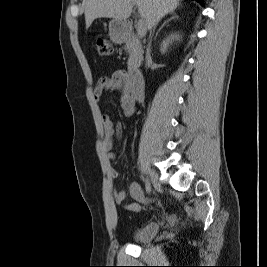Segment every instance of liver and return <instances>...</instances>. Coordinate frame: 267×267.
Here are the masks:
<instances>
[{
    "label": "liver",
    "instance_id": "6515ba94",
    "mask_svg": "<svg viewBox=\"0 0 267 267\" xmlns=\"http://www.w3.org/2000/svg\"><path fill=\"white\" fill-rule=\"evenodd\" d=\"M135 5L147 28L151 29L156 19L173 12L180 4L179 0H83L86 28L97 18L126 20Z\"/></svg>",
    "mask_w": 267,
    "mask_h": 267
}]
</instances>
